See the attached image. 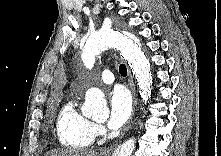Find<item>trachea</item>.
Returning a JSON list of instances; mask_svg holds the SVG:
<instances>
[{
  "label": "trachea",
  "instance_id": "obj_1",
  "mask_svg": "<svg viewBox=\"0 0 221 156\" xmlns=\"http://www.w3.org/2000/svg\"><path fill=\"white\" fill-rule=\"evenodd\" d=\"M119 73L122 75V76H126L127 75V68L124 64H120L119 66Z\"/></svg>",
  "mask_w": 221,
  "mask_h": 156
}]
</instances>
